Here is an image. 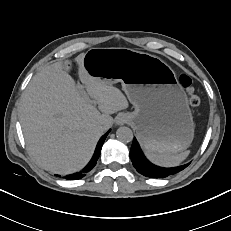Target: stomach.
<instances>
[{
    "label": "stomach",
    "instance_id": "0dacf381",
    "mask_svg": "<svg viewBox=\"0 0 231 231\" xmlns=\"http://www.w3.org/2000/svg\"><path fill=\"white\" fill-rule=\"evenodd\" d=\"M92 77L108 84L121 82L135 110L128 113L146 151L175 155L194 137L187 95L172 68L149 53L128 48H95L83 59Z\"/></svg>",
    "mask_w": 231,
    "mask_h": 231
}]
</instances>
